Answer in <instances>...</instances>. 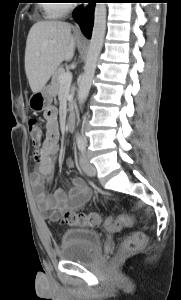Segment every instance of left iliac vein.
I'll use <instances>...</instances> for the list:
<instances>
[{"mask_svg": "<svg viewBox=\"0 0 181 300\" xmlns=\"http://www.w3.org/2000/svg\"><path fill=\"white\" fill-rule=\"evenodd\" d=\"M80 166L83 170V172L89 176V177H94L96 175V168L95 166L90 163L88 158L83 154L80 157Z\"/></svg>", "mask_w": 181, "mask_h": 300, "instance_id": "1", "label": "left iliac vein"}]
</instances>
